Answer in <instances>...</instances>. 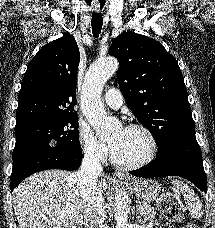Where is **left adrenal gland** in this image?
I'll list each match as a JSON object with an SVG mask.
<instances>
[{
    "label": "left adrenal gland",
    "instance_id": "left-adrenal-gland-1",
    "mask_svg": "<svg viewBox=\"0 0 215 228\" xmlns=\"http://www.w3.org/2000/svg\"><path fill=\"white\" fill-rule=\"evenodd\" d=\"M136 218H137L139 224H144V222H143L141 216H136Z\"/></svg>",
    "mask_w": 215,
    "mask_h": 228
}]
</instances>
